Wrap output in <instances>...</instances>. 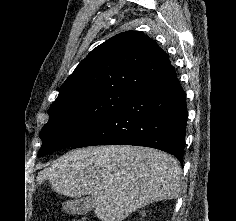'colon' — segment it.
I'll use <instances>...</instances> for the list:
<instances>
[{
  "label": "colon",
  "mask_w": 236,
  "mask_h": 221,
  "mask_svg": "<svg viewBox=\"0 0 236 221\" xmlns=\"http://www.w3.org/2000/svg\"><path fill=\"white\" fill-rule=\"evenodd\" d=\"M71 221H91V220L85 217H77L73 218Z\"/></svg>",
  "instance_id": "obj_1"
}]
</instances>
